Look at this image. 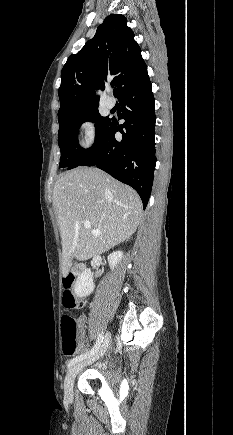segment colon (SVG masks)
Instances as JSON below:
<instances>
[{"label": "colon", "mask_w": 233, "mask_h": 435, "mask_svg": "<svg viewBox=\"0 0 233 435\" xmlns=\"http://www.w3.org/2000/svg\"><path fill=\"white\" fill-rule=\"evenodd\" d=\"M74 283L75 277L72 274L66 276L62 282L64 290L62 300L67 312L61 318V336L62 350L66 355L76 354L78 350V323L76 318L69 312L81 306L71 292Z\"/></svg>", "instance_id": "5ec220e1"}]
</instances>
